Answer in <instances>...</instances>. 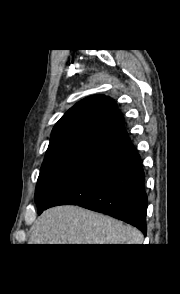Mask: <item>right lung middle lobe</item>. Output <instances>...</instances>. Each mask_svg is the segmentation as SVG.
<instances>
[{
  "label": "right lung middle lobe",
  "instance_id": "obj_1",
  "mask_svg": "<svg viewBox=\"0 0 180 294\" xmlns=\"http://www.w3.org/2000/svg\"><path fill=\"white\" fill-rule=\"evenodd\" d=\"M99 144L94 141H72L48 148L35 190L38 210L49 202Z\"/></svg>",
  "mask_w": 180,
  "mask_h": 294
}]
</instances>
